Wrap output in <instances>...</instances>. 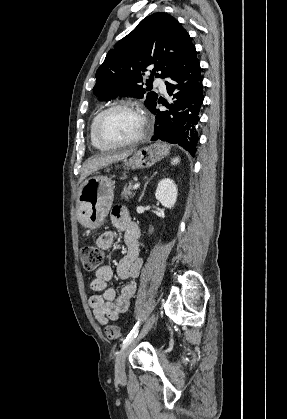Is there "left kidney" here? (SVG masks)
<instances>
[{"mask_svg": "<svg viewBox=\"0 0 287 419\" xmlns=\"http://www.w3.org/2000/svg\"><path fill=\"white\" fill-rule=\"evenodd\" d=\"M177 195V186L172 179L164 178L158 183L155 198L162 204V206L169 209L174 207Z\"/></svg>", "mask_w": 287, "mask_h": 419, "instance_id": "obj_1", "label": "left kidney"}]
</instances>
